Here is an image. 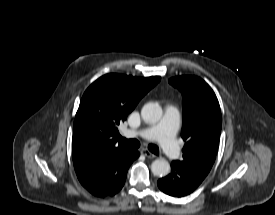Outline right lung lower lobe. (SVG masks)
Segmentation results:
<instances>
[{"label":"right lung lower lobe","instance_id":"1","mask_svg":"<svg viewBox=\"0 0 275 215\" xmlns=\"http://www.w3.org/2000/svg\"><path fill=\"white\" fill-rule=\"evenodd\" d=\"M138 157L139 152L130 149L99 155L76 170V174L80 183L93 195L113 196L123 187L127 170Z\"/></svg>","mask_w":275,"mask_h":215}]
</instances>
